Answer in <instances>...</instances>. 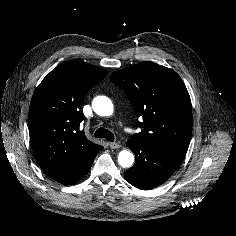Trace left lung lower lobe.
Returning a JSON list of instances; mask_svg holds the SVG:
<instances>
[{
    "instance_id": "obj_1",
    "label": "left lung lower lobe",
    "mask_w": 236,
    "mask_h": 236,
    "mask_svg": "<svg viewBox=\"0 0 236 236\" xmlns=\"http://www.w3.org/2000/svg\"><path fill=\"white\" fill-rule=\"evenodd\" d=\"M127 146L135 153L136 162L125 172V178L141 190H149L164 183L185 157L172 150L133 139L127 141Z\"/></svg>"
}]
</instances>
